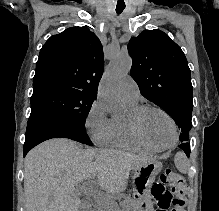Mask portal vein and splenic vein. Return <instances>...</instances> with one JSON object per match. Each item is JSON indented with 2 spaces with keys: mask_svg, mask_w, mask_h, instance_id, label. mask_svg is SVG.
I'll return each instance as SVG.
<instances>
[{
  "mask_svg": "<svg viewBox=\"0 0 219 211\" xmlns=\"http://www.w3.org/2000/svg\"><path fill=\"white\" fill-rule=\"evenodd\" d=\"M77 193H86V195H91V187H88V189H85V191H80V189H75ZM99 203H102V199H98ZM105 203H109V201H105ZM110 203H113L112 199H110Z\"/></svg>",
  "mask_w": 219,
  "mask_h": 211,
  "instance_id": "1",
  "label": "portal vein and splenic vein"
}]
</instances>
